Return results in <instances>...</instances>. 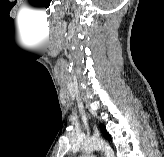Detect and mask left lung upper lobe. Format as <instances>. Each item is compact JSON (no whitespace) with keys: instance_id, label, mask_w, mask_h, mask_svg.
I'll return each instance as SVG.
<instances>
[{"instance_id":"obj_1","label":"left lung upper lobe","mask_w":164,"mask_h":157,"mask_svg":"<svg viewBox=\"0 0 164 157\" xmlns=\"http://www.w3.org/2000/svg\"><path fill=\"white\" fill-rule=\"evenodd\" d=\"M100 129L103 133V135L105 136L106 139H111V136L109 135V133L106 131V128L103 124L100 125Z\"/></svg>"}]
</instances>
